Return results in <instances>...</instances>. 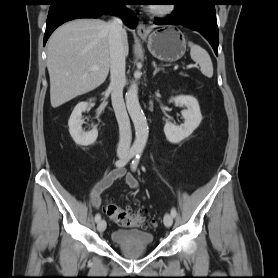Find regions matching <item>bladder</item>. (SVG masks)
I'll return each instance as SVG.
<instances>
[{
    "mask_svg": "<svg viewBox=\"0 0 278 278\" xmlns=\"http://www.w3.org/2000/svg\"><path fill=\"white\" fill-rule=\"evenodd\" d=\"M110 238L114 245L128 248H145L154 242V235L151 232L140 229L114 230Z\"/></svg>",
    "mask_w": 278,
    "mask_h": 278,
    "instance_id": "1",
    "label": "bladder"
}]
</instances>
